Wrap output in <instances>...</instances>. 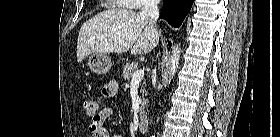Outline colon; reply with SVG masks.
<instances>
[{
  "label": "colon",
  "mask_w": 280,
  "mask_h": 137,
  "mask_svg": "<svg viewBox=\"0 0 280 137\" xmlns=\"http://www.w3.org/2000/svg\"><path fill=\"white\" fill-rule=\"evenodd\" d=\"M83 109L85 113L89 116H96L99 112V105L97 100L91 99V98H85L83 99ZM90 137H98V134L92 133Z\"/></svg>",
  "instance_id": "1"
}]
</instances>
